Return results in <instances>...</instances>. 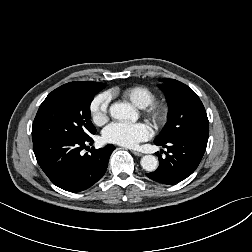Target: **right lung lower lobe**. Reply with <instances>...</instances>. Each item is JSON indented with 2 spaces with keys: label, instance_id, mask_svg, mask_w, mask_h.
<instances>
[{
  "label": "right lung lower lobe",
  "instance_id": "obj_1",
  "mask_svg": "<svg viewBox=\"0 0 252 252\" xmlns=\"http://www.w3.org/2000/svg\"><path fill=\"white\" fill-rule=\"evenodd\" d=\"M91 137L83 140L65 138L33 139L38 164L53 184L70 192H80L96 183L105 173L108 160L115 149L112 144L104 148L81 151ZM91 144V143H90Z\"/></svg>",
  "mask_w": 252,
  "mask_h": 252
}]
</instances>
